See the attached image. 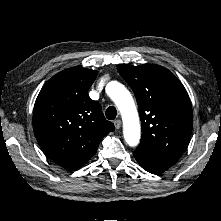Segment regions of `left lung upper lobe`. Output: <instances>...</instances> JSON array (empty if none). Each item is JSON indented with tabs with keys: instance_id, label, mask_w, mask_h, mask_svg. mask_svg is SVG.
<instances>
[{
	"instance_id": "obj_1",
	"label": "left lung upper lobe",
	"mask_w": 221,
	"mask_h": 221,
	"mask_svg": "<svg viewBox=\"0 0 221 221\" xmlns=\"http://www.w3.org/2000/svg\"><path fill=\"white\" fill-rule=\"evenodd\" d=\"M117 70L138 103L142 125L138 148L178 160L193 127L192 106L182 83L160 65L120 64Z\"/></svg>"
}]
</instances>
